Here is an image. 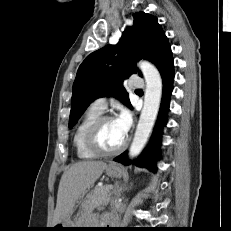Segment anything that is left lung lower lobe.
<instances>
[{"label": "left lung lower lobe", "instance_id": "0a47b994", "mask_svg": "<svg viewBox=\"0 0 231 231\" xmlns=\"http://www.w3.org/2000/svg\"><path fill=\"white\" fill-rule=\"evenodd\" d=\"M152 63L156 65L161 73L163 96L151 141L144 152L133 161V164L139 167H146L156 172V161L159 159L160 154L162 128L167 123V112L169 110V100L173 90L174 80V64L168 39L161 45ZM114 161L122 163L123 165L131 164V161L127 159V151L114 158Z\"/></svg>", "mask_w": 231, "mask_h": 231}]
</instances>
